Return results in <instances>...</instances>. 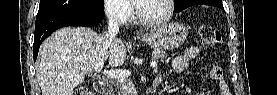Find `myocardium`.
Returning <instances> with one entry per match:
<instances>
[{
  "label": "myocardium",
  "mask_w": 277,
  "mask_h": 95,
  "mask_svg": "<svg viewBox=\"0 0 277 95\" xmlns=\"http://www.w3.org/2000/svg\"><path fill=\"white\" fill-rule=\"evenodd\" d=\"M139 1H141V0H132L131 2H132V6H133L134 16H135L136 20L141 24L150 25V26L160 25V24L167 22L173 14L174 0H165L167 3V6H168V10H167V13L165 16H163L161 18H156V19L145 18V17L141 16L139 13V9H138Z\"/></svg>",
  "instance_id": "obj_1"
}]
</instances>
